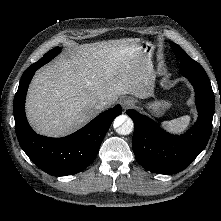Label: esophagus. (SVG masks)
Returning a JSON list of instances; mask_svg holds the SVG:
<instances>
[{
  "label": "esophagus",
  "mask_w": 221,
  "mask_h": 221,
  "mask_svg": "<svg viewBox=\"0 0 221 221\" xmlns=\"http://www.w3.org/2000/svg\"><path fill=\"white\" fill-rule=\"evenodd\" d=\"M134 104V101L131 98H123L121 99V105L124 109L131 107Z\"/></svg>",
  "instance_id": "esophagus-1"
}]
</instances>
